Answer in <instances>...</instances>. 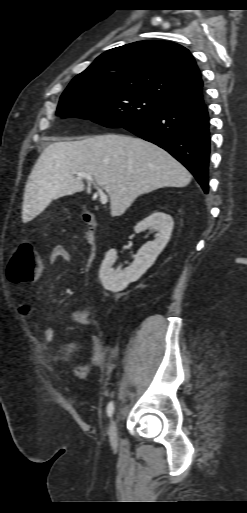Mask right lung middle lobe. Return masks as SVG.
<instances>
[{
    "instance_id": "dd1d6c3e",
    "label": "right lung middle lobe",
    "mask_w": 247,
    "mask_h": 513,
    "mask_svg": "<svg viewBox=\"0 0 247 513\" xmlns=\"http://www.w3.org/2000/svg\"><path fill=\"white\" fill-rule=\"evenodd\" d=\"M169 106L125 88L71 82L60 98L57 115L90 119L110 128H125Z\"/></svg>"
}]
</instances>
